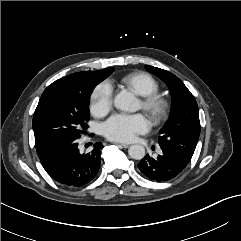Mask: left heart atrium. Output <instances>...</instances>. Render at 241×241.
Masks as SVG:
<instances>
[{
    "mask_svg": "<svg viewBox=\"0 0 241 241\" xmlns=\"http://www.w3.org/2000/svg\"><path fill=\"white\" fill-rule=\"evenodd\" d=\"M149 128L150 122L143 114H115L103 124V133L112 141L131 142Z\"/></svg>",
    "mask_w": 241,
    "mask_h": 241,
    "instance_id": "obj_1",
    "label": "left heart atrium"
}]
</instances>
